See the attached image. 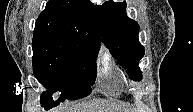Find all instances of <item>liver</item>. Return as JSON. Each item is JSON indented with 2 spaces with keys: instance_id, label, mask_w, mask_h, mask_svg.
<instances>
[{
  "instance_id": "obj_1",
  "label": "liver",
  "mask_w": 193,
  "mask_h": 112,
  "mask_svg": "<svg viewBox=\"0 0 193 112\" xmlns=\"http://www.w3.org/2000/svg\"><path fill=\"white\" fill-rule=\"evenodd\" d=\"M120 109L116 108L115 105L104 100H95L89 104L78 106L73 112H114Z\"/></svg>"
}]
</instances>
